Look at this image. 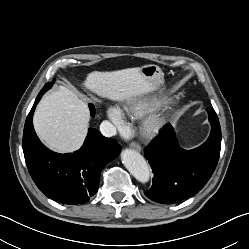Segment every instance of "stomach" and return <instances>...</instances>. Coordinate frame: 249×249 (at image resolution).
Returning a JSON list of instances; mask_svg holds the SVG:
<instances>
[{"instance_id": "1", "label": "stomach", "mask_w": 249, "mask_h": 249, "mask_svg": "<svg viewBox=\"0 0 249 249\" xmlns=\"http://www.w3.org/2000/svg\"><path fill=\"white\" fill-rule=\"evenodd\" d=\"M142 76L153 86V88L163 85V72L157 65L147 64L138 68Z\"/></svg>"}]
</instances>
